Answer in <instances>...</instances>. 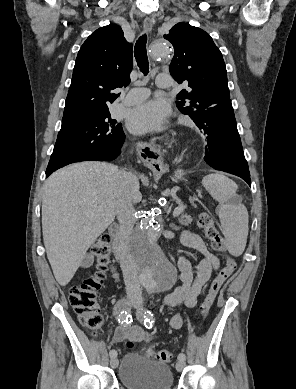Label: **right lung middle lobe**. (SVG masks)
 Returning <instances> with one entry per match:
<instances>
[{
	"label": "right lung middle lobe",
	"mask_w": 296,
	"mask_h": 389,
	"mask_svg": "<svg viewBox=\"0 0 296 389\" xmlns=\"http://www.w3.org/2000/svg\"><path fill=\"white\" fill-rule=\"evenodd\" d=\"M121 124L111 118L109 109L63 117L47 168L69 164L87 154L111 151L122 144Z\"/></svg>",
	"instance_id": "dd1d6c3e"
}]
</instances>
